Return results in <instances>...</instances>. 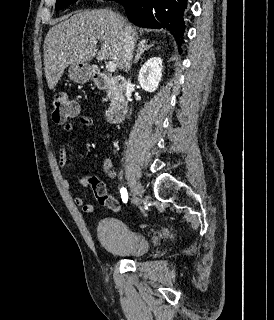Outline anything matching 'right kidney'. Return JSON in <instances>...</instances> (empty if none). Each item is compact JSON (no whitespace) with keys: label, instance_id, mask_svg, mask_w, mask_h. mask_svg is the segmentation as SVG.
<instances>
[{"label":"right kidney","instance_id":"ca27d5eb","mask_svg":"<svg viewBox=\"0 0 274 320\" xmlns=\"http://www.w3.org/2000/svg\"><path fill=\"white\" fill-rule=\"evenodd\" d=\"M161 58H149L138 72V82L145 92H155L162 78Z\"/></svg>","mask_w":274,"mask_h":320}]
</instances>
